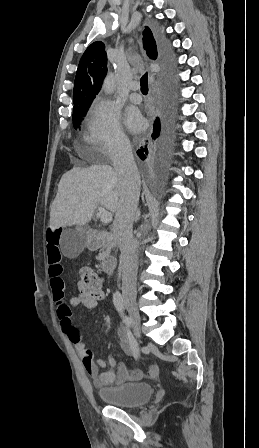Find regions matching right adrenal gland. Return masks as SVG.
<instances>
[{
    "label": "right adrenal gland",
    "instance_id": "right-adrenal-gland-1",
    "mask_svg": "<svg viewBox=\"0 0 259 448\" xmlns=\"http://www.w3.org/2000/svg\"><path fill=\"white\" fill-rule=\"evenodd\" d=\"M140 214H141V212H139V210H138L135 220H140Z\"/></svg>",
    "mask_w": 259,
    "mask_h": 448
}]
</instances>
